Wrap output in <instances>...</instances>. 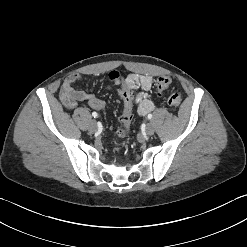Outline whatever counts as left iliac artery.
Returning <instances> with one entry per match:
<instances>
[{
	"label": "left iliac artery",
	"instance_id": "obj_1",
	"mask_svg": "<svg viewBox=\"0 0 247 247\" xmlns=\"http://www.w3.org/2000/svg\"><path fill=\"white\" fill-rule=\"evenodd\" d=\"M147 118H148V119H151V118H152V114H149V115L147 116Z\"/></svg>",
	"mask_w": 247,
	"mask_h": 247
}]
</instances>
